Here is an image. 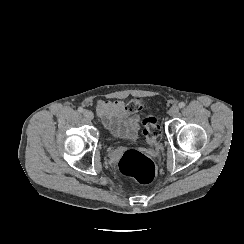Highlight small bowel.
Here are the masks:
<instances>
[{"label": "small bowel", "mask_w": 244, "mask_h": 244, "mask_svg": "<svg viewBox=\"0 0 244 244\" xmlns=\"http://www.w3.org/2000/svg\"><path fill=\"white\" fill-rule=\"evenodd\" d=\"M95 109L103 126L113 136L129 143L138 139L140 117L129 112L123 100H100Z\"/></svg>", "instance_id": "1"}]
</instances>
